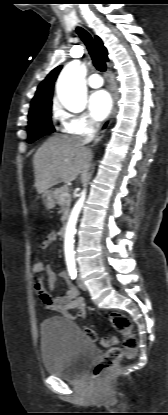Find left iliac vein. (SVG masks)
I'll return each mask as SVG.
<instances>
[{
  "instance_id": "obj_1",
  "label": "left iliac vein",
  "mask_w": 168,
  "mask_h": 415,
  "mask_svg": "<svg viewBox=\"0 0 168 415\" xmlns=\"http://www.w3.org/2000/svg\"><path fill=\"white\" fill-rule=\"evenodd\" d=\"M77 284H78V286H79L80 289H82L84 291L87 290V287L84 284V282H83L82 278L80 277V275H78V277H77Z\"/></svg>"
}]
</instances>
